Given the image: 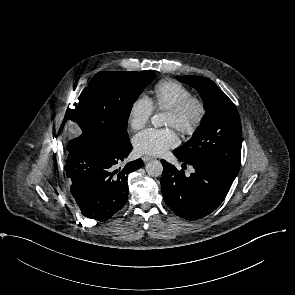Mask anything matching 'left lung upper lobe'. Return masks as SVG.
I'll use <instances>...</instances> for the list:
<instances>
[{"label":"left lung upper lobe","instance_id":"left-lung-upper-lobe-1","mask_svg":"<svg viewBox=\"0 0 295 295\" xmlns=\"http://www.w3.org/2000/svg\"><path fill=\"white\" fill-rule=\"evenodd\" d=\"M177 79L200 93L206 113L193 137L174 151L187 162H208L236 177L242 130L234 103L208 78L179 76Z\"/></svg>","mask_w":295,"mask_h":295}]
</instances>
